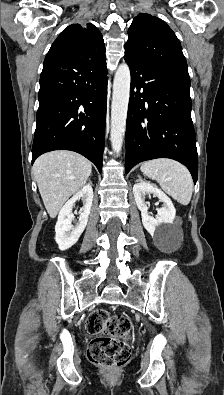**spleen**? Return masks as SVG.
I'll list each match as a JSON object with an SVG mask.
<instances>
[{
  "label": "spleen",
  "mask_w": 224,
  "mask_h": 395,
  "mask_svg": "<svg viewBox=\"0 0 224 395\" xmlns=\"http://www.w3.org/2000/svg\"><path fill=\"white\" fill-rule=\"evenodd\" d=\"M141 171L155 179L161 188L182 205L189 204L193 180L189 170L172 159H153L141 165Z\"/></svg>",
  "instance_id": "3e777b00"
}]
</instances>
